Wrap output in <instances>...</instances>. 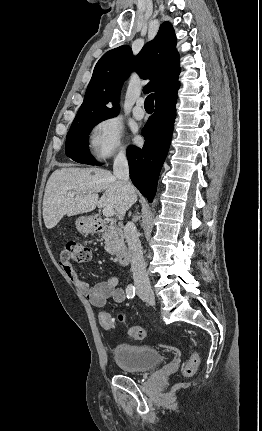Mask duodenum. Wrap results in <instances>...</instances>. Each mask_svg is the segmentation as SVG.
I'll use <instances>...</instances> for the list:
<instances>
[{
	"label": "duodenum",
	"instance_id": "obj_1",
	"mask_svg": "<svg viewBox=\"0 0 262 431\" xmlns=\"http://www.w3.org/2000/svg\"><path fill=\"white\" fill-rule=\"evenodd\" d=\"M93 226L97 232H101L106 229V224L101 220L93 221ZM116 256L118 263L121 265H127L131 260L130 252L127 249L118 251Z\"/></svg>",
	"mask_w": 262,
	"mask_h": 431
}]
</instances>
